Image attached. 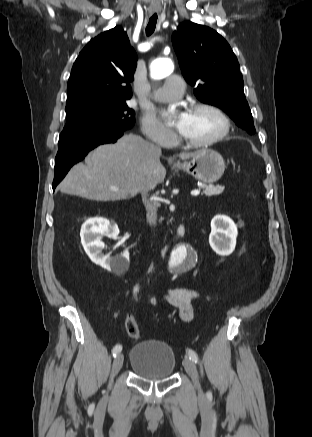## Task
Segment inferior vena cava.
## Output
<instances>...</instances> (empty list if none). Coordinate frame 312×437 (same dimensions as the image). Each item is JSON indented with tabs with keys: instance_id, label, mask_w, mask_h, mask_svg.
Listing matches in <instances>:
<instances>
[{
	"instance_id": "obj_1",
	"label": "inferior vena cava",
	"mask_w": 312,
	"mask_h": 437,
	"mask_svg": "<svg viewBox=\"0 0 312 437\" xmlns=\"http://www.w3.org/2000/svg\"><path fill=\"white\" fill-rule=\"evenodd\" d=\"M157 150L159 152H161V149L159 147H157ZM141 194H142L143 201L146 202L147 193L146 192H141ZM146 207H147V210H148V217H147V219H148L150 224H153L155 222V220H156V207H154L152 209V207H150L148 204L146 205Z\"/></svg>"
}]
</instances>
